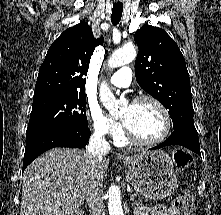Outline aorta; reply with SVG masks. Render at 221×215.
Here are the masks:
<instances>
[{"label": "aorta", "mask_w": 221, "mask_h": 215, "mask_svg": "<svg viewBox=\"0 0 221 215\" xmlns=\"http://www.w3.org/2000/svg\"><path fill=\"white\" fill-rule=\"evenodd\" d=\"M136 55L137 52L133 46L118 49L110 57L108 61L109 67L115 68L129 64L136 58ZM100 99L103 106L112 116L119 112V102L114 98L113 94L105 84L101 85ZM107 197L109 215H123L120 189L115 185L110 186L107 192Z\"/></svg>", "instance_id": "1"}]
</instances>
